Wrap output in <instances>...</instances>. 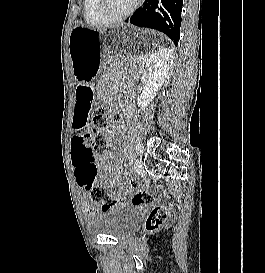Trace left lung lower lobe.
<instances>
[{
  "label": "left lung lower lobe",
  "instance_id": "obj_1",
  "mask_svg": "<svg viewBox=\"0 0 265 273\" xmlns=\"http://www.w3.org/2000/svg\"><path fill=\"white\" fill-rule=\"evenodd\" d=\"M183 0H146L126 22L165 33L178 45Z\"/></svg>",
  "mask_w": 265,
  "mask_h": 273
}]
</instances>
